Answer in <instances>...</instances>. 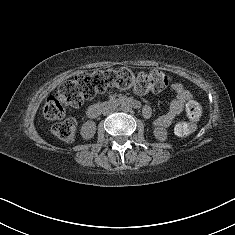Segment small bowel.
I'll return each instance as SVG.
<instances>
[{
	"label": "small bowel",
	"instance_id": "c3829d8e",
	"mask_svg": "<svg viewBox=\"0 0 235 235\" xmlns=\"http://www.w3.org/2000/svg\"><path fill=\"white\" fill-rule=\"evenodd\" d=\"M175 98L170 103L169 109L166 113L158 117L154 121L155 127H168L174 119L183 111L185 105L191 100V94L180 83H174L171 86ZM143 116L149 118L152 115V108L145 105L142 110Z\"/></svg>",
	"mask_w": 235,
	"mask_h": 235
}]
</instances>
